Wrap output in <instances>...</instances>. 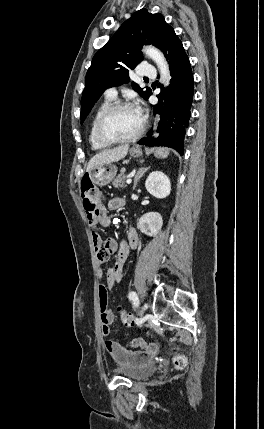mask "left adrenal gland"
I'll return each mask as SVG.
<instances>
[{
	"label": "left adrenal gland",
	"mask_w": 264,
	"mask_h": 429,
	"mask_svg": "<svg viewBox=\"0 0 264 429\" xmlns=\"http://www.w3.org/2000/svg\"><path fill=\"white\" fill-rule=\"evenodd\" d=\"M150 169V166L148 167H141L138 169L135 178H134V183H133V190H135L136 185L138 183V181L140 180V178L144 175V173Z\"/></svg>",
	"instance_id": "1"
}]
</instances>
